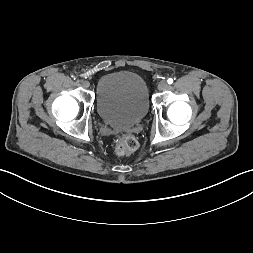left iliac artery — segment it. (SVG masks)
Here are the masks:
<instances>
[{"mask_svg": "<svg viewBox=\"0 0 253 253\" xmlns=\"http://www.w3.org/2000/svg\"><path fill=\"white\" fill-rule=\"evenodd\" d=\"M167 82H168V84H172V83H173V79H172V78H169V79L167 80Z\"/></svg>", "mask_w": 253, "mask_h": 253, "instance_id": "1", "label": "left iliac artery"}]
</instances>
